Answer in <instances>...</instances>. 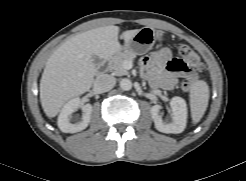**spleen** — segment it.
Listing matches in <instances>:
<instances>
[{"label":"spleen","mask_w":246,"mask_h":181,"mask_svg":"<svg viewBox=\"0 0 246 181\" xmlns=\"http://www.w3.org/2000/svg\"><path fill=\"white\" fill-rule=\"evenodd\" d=\"M209 97V86L205 81L197 80L192 83L189 94V103L194 124L198 123L203 117L208 107Z\"/></svg>","instance_id":"obj_1"}]
</instances>
